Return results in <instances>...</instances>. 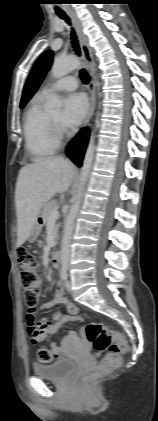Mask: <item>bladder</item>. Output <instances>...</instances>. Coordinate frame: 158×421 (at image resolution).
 <instances>
[{
    "mask_svg": "<svg viewBox=\"0 0 158 421\" xmlns=\"http://www.w3.org/2000/svg\"><path fill=\"white\" fill-rule=\"evenodd\" d=\"M76 368V363L73 359L63 357L51 363H35L33 365V372L36 376L62 381L68 378Z\"/></svg>",
    "mask_w": 158,
    "mask_h": 421,
    "instance_id": "1",
    "label": "bladder"
}]
</instances>
